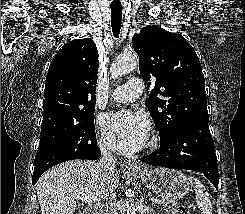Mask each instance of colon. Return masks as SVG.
Wrapping results in <instances>:
<instances>
[{
  "instance_id": "5ec220e1",
  "label": "colon",
  "mask_w": 245,
  "mask_h": 214,
  "mask_svg": "<svg viewBox=\"0 0 245 214\" xmlns=\"http://www.w3.org/2000/svg\"><path fill=\"white\" fill-rule=\"evenodd\" d=\"M173 214H191L187 208L183 205L176 206L173 210Z\"/></svg>"
}]
</instances>
